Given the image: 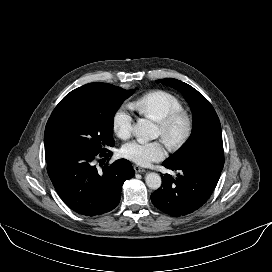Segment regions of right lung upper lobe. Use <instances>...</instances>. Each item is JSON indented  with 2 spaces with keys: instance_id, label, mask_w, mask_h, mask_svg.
Listing matches in <instances>:
<instances>
[{
  "instance_id": "1",
  "label": "right lung upper lobe",
  "mask_w": 272,
  "mask_h": 272,
  "mask_svg": "<svg viewBox=\"0 0 272 272\" xmlns=\"http://www.w3.org/2000/svg\"><path fill=\"white\" fill-rule=\"evenodd\" d=\"M95 86L96 84L89 83L71 91L59 102V104L56 106L52 113H57L63 110L75 109L83 106H89L95 103Z\"/></svg>"
}]
</instances>
